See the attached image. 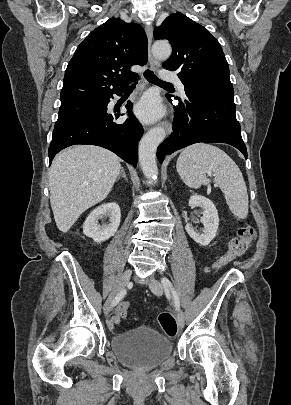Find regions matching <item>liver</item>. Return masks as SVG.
Wrapping results in <instances>:
<instances>
[{
    "instance_id": "1",
    "label": "liver",
    "mask_w": 291,
    "mask_h": 405,
    "mask_svg": "<svg viewBox=\"0 0 291 405\" xmlns=\"http://www.w3.org/2000/svg\"><path fill=\"white\" fill-rule=\"evenodd\" d=\"M120 170L119 157L98 146L76 145L61 151L49 170L57 228L68 232L85 210L104 200Z\"/></svg>"
}]
</instances>
